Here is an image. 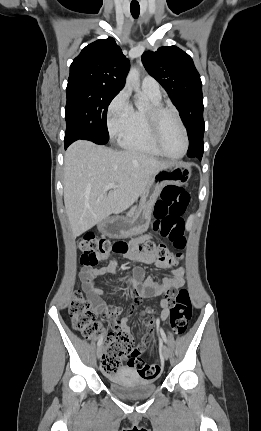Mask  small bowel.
<instances>
[{
    "label": "small bowel",
    "instance_id": "small-bowel-1",
    "mask_svg": "<svg viewBox=\"0 0 261 431\" xmlns=\"http://www.w3.org/2000/svg\"><path fill=\"white\" fill-rule=\"evenodd\" d=\"M151 235H144L139 239V242L151 239ZM135 259L146 262L154 263L157 267L167 269L170 271V275L164 277L162 280H156L150 276L145 277L144 271L141 268H135L132 275L129 277V283L136 288L138 293L133 296V304L144 298V300H156V297L166 294L169 291L179 289L184 285L185 273L183 268H175L174 263L159 261L154 255L151 254H140L130 255ZM108 259L109 255L103 257ZM115 264L111 261L108 266L103 268H88L85 267L81 270L80 278L82 281V289L86 293L89 302L92 304L93 309L96 313L102 314L105 319H110V324L114 329H120L121 332L130 335V327L126 318L118 319L121 314L120 308H114L108 310L105 303L104 292L97 287L95 279L101 275L116 273ZM161 311L160 317L162 320H166L169 316V307L167 302L162 299L160 302ZM133 312L136 315L151 314V310H155V305H150V309L138 308V305H133ZM146 320V317H143ZM137 320V323H143L142 327L146 330V337L148 338L153 331V323L150 320L143 321ZM145 348V341L140 342L135 350L139 353ZM159 375V373H158Z\"/></svg>",
    "mask_w": 261,
    "mask_h": 431
}]
</instances>
